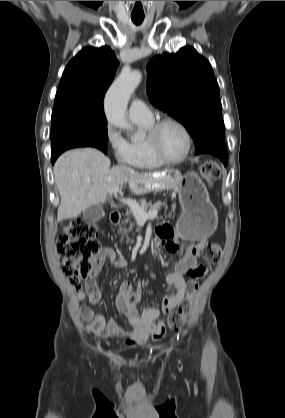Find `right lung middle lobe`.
<instances>
[{
    "label": "right lung middle lobe",
    "mask_w": 285,
    "mask_h": 418,
    "mask_svg": "<svg viewBox=\"0 0 285 418\" xmlns=\"http://www.w3.org/2000/svg\"><path fill=\"white\" fill-rule=\"evenodd\" d=\"M107 121L101 108L54 106L51 117V158L75 147H95L107 153Z\"/></svg>",
    "instance_id": "1"
}]
</instances>
